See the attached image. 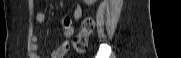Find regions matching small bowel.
Wrapping results in <instances>:
<instances>
[{
  "instance_id": "c3829d8e",
  "label": "small bowel",
  "mask_w": 181,
  "mask_h": 58,
  "mask_svg": "<svg viewBox=\"0 0 181 58\" xmlns=\"http://www.w3.org/2000/svg\"><path fill=\"white\" fill-rule=\"evenodd\" d=\"M82 15V9L79 5H74L73 11L71 16H66L63 21H62V26H63V33L66 38H70L74 34V26L73 22L75 20H78ZM36 22L42 23L44 22L45 15L43 13H37L36 14ZM34 44L32 45V50L35 52L33 58H40L36 52L38 50V45L36 44L37 42V37H34ZM70 48V42L69 40H66L63 42L61 45L56 47L52 53H51V58H62L64 55L68 52Z\"/></svg>"
}]
</instances>
